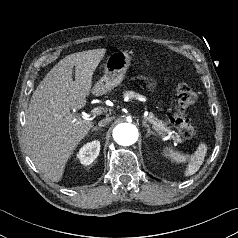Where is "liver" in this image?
<instances>
[{"label":"liver","instance_id":"obj_1","mask_svg":"<svg viewBox=\"0 0 238 238\" xmlns=\"http://www.w3.org/2000/svg\"><path fill=\"white\" fill-rule=\"evenodd\" d=\"M105 53L102 48L66 56L48 72L31 97L25 126L27 151L36 167L53 182L62 179L68 159L93 125L70 109H82L86 97L94 94L93 73Z\"/></svg>","mask_w":238,"mask_h":238}]
</instances>
